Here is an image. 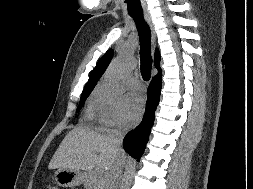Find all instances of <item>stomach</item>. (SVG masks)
<instances>
[{
	"label": "stomach",
	"instance_id": "1",
	"mask_svg": "<svg viewBox=\"0 0 253 189\" xmlns=\"http://www.w3.org/2000/svg\"><path fill=\"white\" fill-rule=\"evenodd\" d=\"M85 175L86 174L81 171L59 168L55 172V180L61 187H74L85 180Z\"/></svg>",
	"mask_w": 253,
	"mask_h": 189
}]
</instances>
